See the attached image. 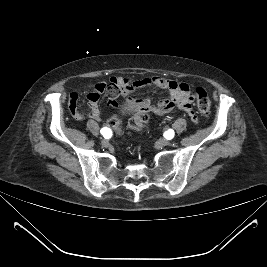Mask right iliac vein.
<instances>
[{
	"instance_id": "right-iliac-vein-1",
	"label": "right iliac vein",
	"mask_w": 267,
	"mask_h": 267,
	"mask_svg": "<svg viewBox=\"0 0 267 267\" xmlns=\"http://www.w3.org/2000/svg\"><path fill=\"white\" fill-rule=\"evenodd\" d=\"M101 145H102L103 147H108V146H109V141L106 140V139H103V140L101 141Z\"/></svg>"
}]
</instances>
